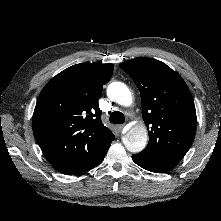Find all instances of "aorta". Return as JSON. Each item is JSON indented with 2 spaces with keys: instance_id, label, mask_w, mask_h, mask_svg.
Instances as JSON below:
<instances>
[{
  "instance_id": "1",
  "label": "aorta",
  "mask_w": 221,
  "mask_h": 221,
  "mask_svg": "<svg viewBox=\"0 0 221 221\" xmlns=\"http://www.w3.org/2000/svg\"><path fill=\"white\" fill-rule=\"evenodd\" d=\"M109 98L119 105L130 106L132 95L129 88L122 82H113L108 86ZM148 133L144 125L132 127L123 137L126 149L132 153L141 152L147 144Z\"/></svg>"
}]
</instances>
